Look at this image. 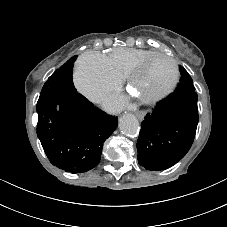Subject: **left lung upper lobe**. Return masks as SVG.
Segmentation results:
<instances>
[{
    "label": "left lung upper lobe",
    "mask_w": 227,
    "mask_h": 227,
    "mask_svg": "<svg viewBox=\"0 0 227 227\" xmlns=\"http://www.w3.org/2000/svg\"><path fill=\"white\" fill-rule=\"evenodd\" d=\"M180 73V82L175 91L182 92L188 90H195L191 76L182 66H180Z\"/></svg>",
    "instance_id": "1"
}]
</instances>
